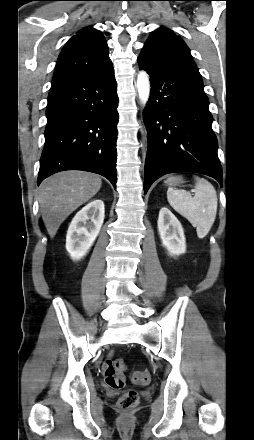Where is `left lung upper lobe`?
<instances>
[{
	"instance_id": "obj_1",
	"label": "left lung upper lobe",
	"mask_w": 254,
	"mask_h": 440,
	"mask_svg": "<svg viewBox=\"0 0 254 440\" xmlns=\"http://www.w3.org/2000/svg\"><path fill=\"white\" fill-rule=\"evenodd\" d=\"M140 56H151L175 66L188 68L202 81L189 48L170 29L160 27L153 31Z\"/></svg>"
}]
</instances>
